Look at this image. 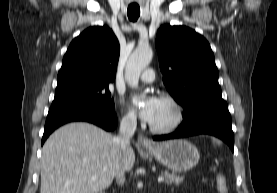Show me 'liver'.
<instances>
[{"label":"liver","instance_id":"1","mask_svg":"<svg viewBox=\"0 0 277 193\" xmlns=\"http://www.w3.org/2000/svg\"><path fill=\"white\" fill-rule=\"evenodd\" d=\"M134 162L133 148L123 155L113 135L93 124L70 123L43 146L40 193H98Z\"/></svg>","mask_w":277,"mask_h":193}]
</instances>
